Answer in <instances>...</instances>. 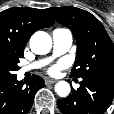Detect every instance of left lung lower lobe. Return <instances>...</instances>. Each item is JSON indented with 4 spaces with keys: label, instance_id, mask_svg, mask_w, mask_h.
Returning <instances> with one entry per match:
<instances>
[{
    "label": "left lung lower lobe",
    "instance_id": "obj_1",
    "mask_svg": "<svg viewBox=\"0 0 114 114\" xmlns=\"http://www.w3.org/2000/svg\"><path fill=\"white\" fill-rule=\"evenodd\" d=\"M114 98V82L84 77L78 90L57 100V106L63 114H103Z\"/></svg>",
    "mask_w": 114,
    "mask_h": 114
}]
</instances>
